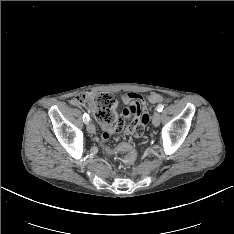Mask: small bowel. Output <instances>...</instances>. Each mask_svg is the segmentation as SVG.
Listing matches in <instances>:
<instances>
[{"mask_svg": "<svg viewBox=\"0 0 234 234\" xmlns=\"http://www.w3.org/2000/svg\"><path fill=\"white\" fill-rule=\"evenodd\" d=\"M123 100L124 104H122V108L124 109L122 111L121 117L123 118V120L128 118H133V121L125 127L124 129L125 133L128 135L136 134V137L145 136V134L148 131L147 126H145L146 122L148 121V115H147V105L144 98L137 93L128 92L124 94ZM101 125L103 129L101 137L104 134H106V132H109L107 126L110 127L114 126L112 132H109V135H107V137L105 138L106 142L110 139V137L115 131H118L120 129L119 122H116V126L114 124H107V123H101Z\"/></svg>", "mask_w": 234, "mask_h": 234, "instance_id": "obj_1", "label": "small bowel"}]
</instances>
